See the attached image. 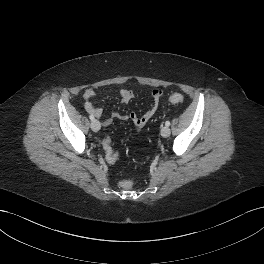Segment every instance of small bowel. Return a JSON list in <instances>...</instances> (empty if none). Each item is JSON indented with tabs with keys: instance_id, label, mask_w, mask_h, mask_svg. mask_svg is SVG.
I'll use <instances>...</instances> for the list:
<instances>
[{
	"instance_id": "1",
	"label": "small bowel",
	"mask_w": 264,
	"mask_h": 264,
	"mask_svg": "<svg viewBox=\"0 0 264 264\" xmlns=\"http://www.w3.org/2000/svg\"><path fill=\"white\" fill-rule=\"evenodd\" d=\"M118 94L123 103H128L135 96V91L131 89H120L118 91ZM162 96L163 93L160 89H154L151 92L150 107L143 115L138 116L133 112L128 114L113 113L110 118L104 119L102 121V124L103 126H109L112 123L113 119H118L122 121L130 120L136 128H143L157 112ZM83 97L85 100L86 110L91 115L95 116L98 119H101L103 116L102 109L100 107L94 106L90 101L92 98L95 97V92L91 89H88L84 92ZM106 159L109 163H114L117 160V155L113 158L106 155Z\"/></svg>"
}]
</instances>
